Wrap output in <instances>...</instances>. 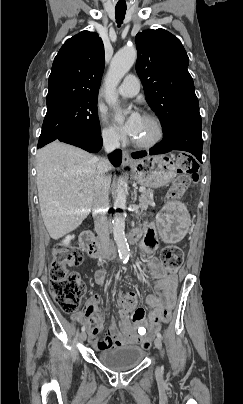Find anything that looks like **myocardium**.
<instances>
[{
  "label": "myocardium",
  "mask_w": 243,
  "mask_h": 404,
  "mask_svg": "<svg viewBox=\"0 0 243 404\" xmlns=\"http://www.w3.org/2000/svg\"><path fill=\"white\" fill-rule=\"evenodd\" d=\"M124 34L126 35L127 33H124ZM131 34H136V32H131ZM143 117L154 122V124L156 125V129H157L156 136L152 140L147 141V142L133 140V145H134V147L139 148V149H152V148L158 146L164 140L165 133H166L165 125H164L163 120L154 113H146V114H144Z\"/></svg>",
  "instance_id": "1"
}]
</instances>
